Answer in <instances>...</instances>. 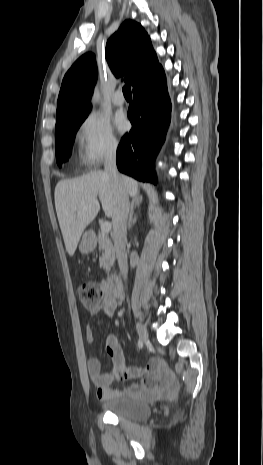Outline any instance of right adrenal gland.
Listing matches in <instances>:
<instances>
[{
    "mask_svg": "<svg viewBox=\"0 0 263 465\" xmlns=\"http://www.w3.org/2000/svg\"><path fill=\"white\" fill-rule=\"evenodd\" d=\"M140 203L139 202H132L130 205V211H129V218H128V229L132 227L137 221V216H134V209L135 207H139Z\"/></svg>",
    "mask_w": 263,
    "mask_h": 465,
    "instance_id": "1",
    "label": "right adrenal gland"
}]
</instances>
